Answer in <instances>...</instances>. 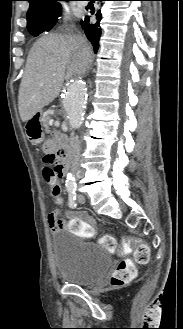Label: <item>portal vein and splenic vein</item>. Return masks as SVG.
Instances as JSON below:
<instances>
[{
    "instance_id": "1",
    "label": "portal vein and splenic vein",
    "mask_w": 183,
    "mask_h": 329,
    "mask_svg": "<svg viewBox=\"0 0 183 329\" xmlns=\"http://www.w3.org/2000/svg\"><path fill=\"white\" fill-rule=\"evenodd\" d=\"M53 124V119H50L49 120V125H52Z\"/></svg>"
}]
</instances>
